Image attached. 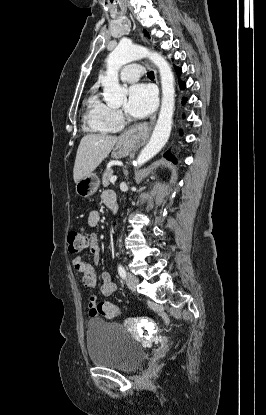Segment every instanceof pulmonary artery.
I'll list each match as a JSON object with an SVG mask.
<instances>
[{
	"label": "pulmonary artery",
	"mask_w": 266,
	"mask_h": 415,
	"mask_svg": "<svg viewBox=\"0 0 266 415\" xmlns=\"http://www.w3.org/2000/svg\"><path fill=\"white\" fill-rule=\"evenodd\" d=\"M142 72V67L139 64H129L122 69L120 78L125 82H134L139 79Z\"/></svg>",
	"instance_id": "obj_1"
}]
</instances>
